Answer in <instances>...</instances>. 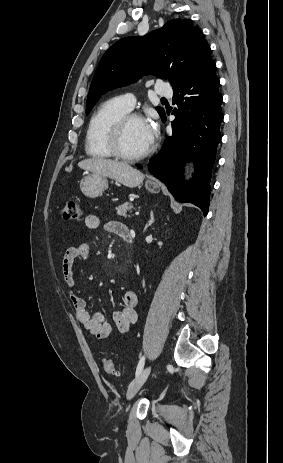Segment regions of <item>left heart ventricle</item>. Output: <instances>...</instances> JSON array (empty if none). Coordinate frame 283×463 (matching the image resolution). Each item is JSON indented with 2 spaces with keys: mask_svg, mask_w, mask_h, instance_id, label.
<instances>
[{
  "mask_svg": "<svg viewBox=\"0 0 283 463\" xmlns=\"http://www.w3.org/2000/svg\"><path fill=\"white\" fill-rule=\"evenodd\" d=\"M122 149L128 154H139L147 150L149 142L146 122L143 120H131L125 127L122 139Z\"/></svg>",
  "mask_w": 283,
  "mask_h": 463,
  "instance_id": "left-heart-ventricle-1",
  "label": "left heart ventricle"
}]
</instances>
